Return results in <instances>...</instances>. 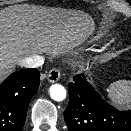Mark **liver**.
Here are the masks:
<instances>
[{
  "label": "liver",
  "instance_id": "1",
  "mask_svg": "<svg viewBox=\"0 0 131 131\" xmlns=\"http://www.w3.org/2000/svg\"><path fill=\"white\" fill-rule=\"evenodd\" d=\"M93 29L88 15L28 5L0 10V81L24 57L56 55L82 42Z\"/></svg>",
  "mask_w": 131,
  "mask_h": 131
}]
</instances>
